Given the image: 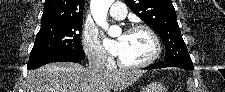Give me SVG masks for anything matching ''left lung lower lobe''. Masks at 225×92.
Masks as SVG:
<instances>
[{
	"label": "left lung lower lobe",
	"instance_id": "left-lung-lower-lobe-1",
	"mask_svg": "<svg viewBox=\"0 0 225 92\" xmlns=\"http://www.w3.org/2000/svg\"><path fill=\"white\" fill-rule=\"evenodd\" d=\"M166 67H179L185 70L194 69L192 62H171V63L158 62L146 67L145 69H156V68H166Z\"/></svg>",
	"mask_w": 225,
	"mask_h": 92
}]
</instances>
